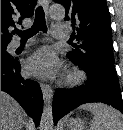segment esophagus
Instances as JSON below:
<instances>
[{
  "instance_id": "obj_1",
  "label": "esophagus",
  "mask_w": 123,
  "mask_h": 130,
  "mask_svg": "<svg viewBox=\"0 0 123 130\" xmlns=\"http://www.w3.org/2000/svg\"><path fill=\"white\" fill-rule=\"evenodd\" d=\"M39 2L43 6L46 16L48 17L49 0H39ZM40 87L45 101H50L53 95L51 86L41 82Z\"/></svg>"
}]
</instances>
